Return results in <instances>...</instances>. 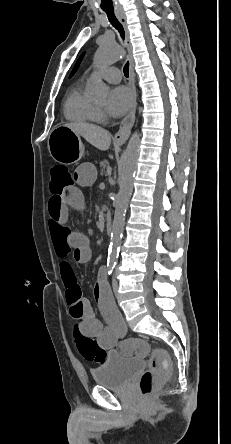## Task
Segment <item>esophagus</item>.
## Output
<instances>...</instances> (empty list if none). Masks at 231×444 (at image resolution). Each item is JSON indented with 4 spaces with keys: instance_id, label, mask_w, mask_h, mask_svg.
Returning <instances> with one entry per match:
<instances>
[{
    "instance_id": "obj_1",
    "label": "esophagus",
    "mask_w": 231,
    "mask_h": 444,
    "mask_svg": "<svg viewBox=\"0 0 231 444\" xmlns=\"http://www.w3.org/2000/svg\"><path fill=\"white\" fill-rule=\"evenodd\" d=\"M116 16L125 30V43L128 51L129 60V86L133 94V103L128 115L121 121L120 128L114 136V141L118 143H124L130 136L131 129L135 122V113L137 105V93L134 80V62L132 57V46L129 39V31L127 27L126 15L123 11H116Z\"/></svg>"
}]
</instances>
